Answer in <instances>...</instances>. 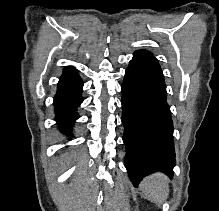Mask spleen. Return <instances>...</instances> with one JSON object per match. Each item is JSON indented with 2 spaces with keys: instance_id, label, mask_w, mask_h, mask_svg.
Listing matches in <instances>:
<instances>
[{
  "instance_id": "spleen-1",
  "label": "spleen",
  "mask_w": 219,
  "mask_h": 211,
  "mask_svg": "<svg viewBox=\"0 0 219 211\" xmlns=\"http://www.w3.org/2000/svg\"><path fill=\"white\" fill-rule=\"evenodd\" d=\"M143 193L147 199L154 203H162L168 195V179L163 173H152L141 181Z\"/></svg>"
}]
</instances>
